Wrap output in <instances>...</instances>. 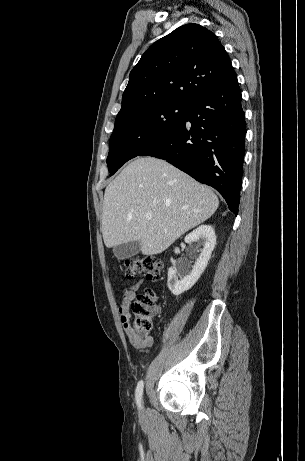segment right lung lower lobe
<instances>
[{
    "label": "right lung lower lobe",
    "instance_id": "obj_1",
    "mask_svg": "<svg viewBox=\"0 0 305 461\" xmlns=\"http://www.w3.org/2000/svg\"><path fill=\"white\" fill-rule=\"evenodd\" d=\"M241 100L234 74L193 99L181 124L139 156L164 159L214 187L237 215L246 134Z\"/></svg>",
    "mask_w": 305,
    "mask_h": 461
}]
</instances>
